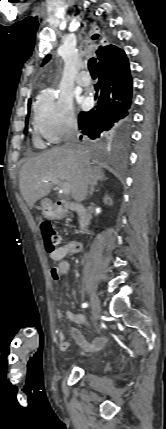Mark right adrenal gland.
I'll return each instance as SVG.
<instances>
[{
    "label": "right adrenal gland",
    "instance_id": "2a0ac1e0",
    "mask_svg": "<svg viewBox=\"0 0 166 429\" xmlns=\"http://www.w3.org/2000/svg\"><path fill=\"white\" fill-rule=\"evenodd\" d=\"M108 180L107 177H105L104 173H100L97 177V180L91 185L90 191H89V195L92 196L95 190V186H97L98 181H106Z\"/></svg>",
    "mask_w": 166,
    "mask_h": 429
}]
</instances>
